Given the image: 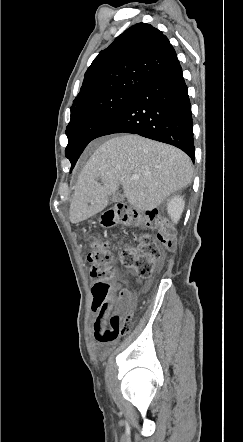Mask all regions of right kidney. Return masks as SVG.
Wrapping results in <instances>:
<instances>
[{"instance_id": "ca27d5eb", "label": "right kidney", "mask_w": 243, "mask_h": 442, "mask_svg": "<svg viewBox=\"0 0 243 442\" xmlns=\"http://www.w3.org/2000/svg\"><path fill=\"white\" fill-rule=\"evenodd\" d=\"M184 206L185 202L183 200V197L179 195L174 196L173 198L168 200L167 211L174 223H177L178 220L180 219L182 212L184 210Z\"/></svg>"}]
</instances>
